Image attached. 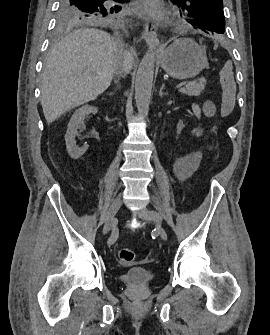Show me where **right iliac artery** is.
Wrapping results in <instances>:
<instances>
[{
  "instance_id": "right-iliac-artery-1",
  "label": "right iliac artery",
  "mask_w": 270,
  "mask_h": 335,
  "mask_svg": "<svg viewBox=\"0 0 270 335\" xmlns=\"http://www.w3.org/2000/svg\"><path fill=\"white\" fill-rule=\"evenodd\" d=\"M118 238V229L116 227L113 228L112 233L108 239V244H113Z\"/></svg>"
}]
</instances>
